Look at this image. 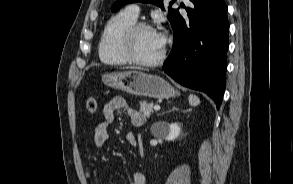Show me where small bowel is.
<instances>
[{"instance_id":"c3829d8e","label":"small bowel","mask_w":293,"mask_h":184,"mask_svg":"<svg viewBox=\"0 0 293 184\" xmlns=\"http://www.w3.org/2000/svg\"><path fill=\"white\" fill-rule=\"evenodd\" d=\"M121 110L126 112L132 125L141 126L145 122L144 115L138 110L130 107L124 98L115 97L111 99L103 108V120L95 127L94 141L98 147H103L107 143L109 139L108 127L114 122L116 113ZM126 141L131 146H135V135L133 133H128L126 135ZM85 176L88 181L91 179L92 169L89 165L85 168ZM129 184H146V178L141 172H135Z\"/></svg>"}]
</instances>
